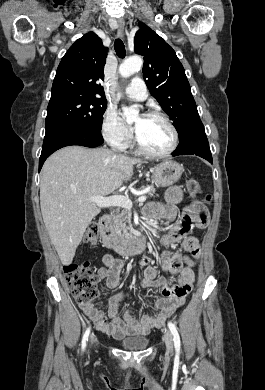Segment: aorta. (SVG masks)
<instances>
[{
	"instance_id": "762f6f07",
	"label": "aorta",
	"mask_w": 265,
	"mask_h": 390,
	"mask_svg": "<svg viewBox=\"0 0 265 390\" xmlns=\"http://www.w3.org/2000/svg\"><path fill=\"white\" fill-rule=\"evenodd\" d=\"M143 61L140 56H132L124 60L119 66V73L122 77L127 78L139 71L142 67ZM123 117L128 123L137 120L139 111L135 108L123 107Z\"/></svg>"
}]
</instances>
